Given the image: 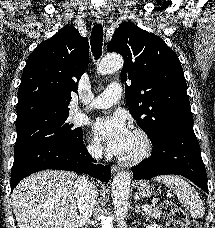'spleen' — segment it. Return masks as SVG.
Here are the masks:
<instances>
[{"instance_id":"3e777b00","label":"spleen","mask_w":215,"mask_h":228,"mask_svg":"<svg viewBox=\"0 0 215 228\" xmlns=\"http://www.w3.org/2000/svg\"><path fill=\"white\" fill-rule=\"evenodd\" d=\"M155 182H163L167 188H170L181 204L189 210L191 218H203L205 214L203 202L189 182L180 176H156Z\"/></svg>"}]
</instances>
